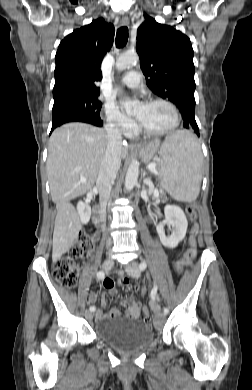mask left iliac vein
<instances>
[{
    "label": "left iliac vein",
    "mask_w": 252,
    "mask_h": 390,
    "mask_svg": "<svg viewBox=\"0 0 252 390\" xmlns=\"http://www.w3.org/2000/svg\"><path fill=\"white\" fill-rule=\"evenodd\" d=\"M125 271L127 272V274L129 276H131L133 278H138L140 276V270L138 269V266L136 264L126 266ZM154 311L156 313L157 320L158 321L163 320V318L165 317V314L160 312L158 308H155Z\"/></svg>",
    "instance_id": "1"
}]
</instances>
